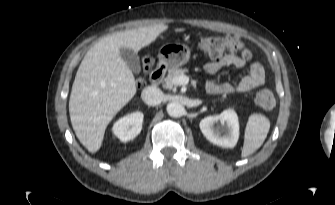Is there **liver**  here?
Segmentation results:
<instances>
[{"mask_svg":"<svg viewBox=\"0 0 335 205\" xmlns=\"http://www.w3.org/2000/svg\"><path fill=\"white\" fill-rule=\"evenodd\" d=\"M167 29L168 26L157 24L117 32L97 42L85 54L73 82L69 113L77 138L89 152L100 149L107 125L136 93L134 75L120 49L138 52Z\"/></svg>","mask_w":335,"mask_h":205,"instance_id":"liver-1","label":"liver"}]
</instances>
